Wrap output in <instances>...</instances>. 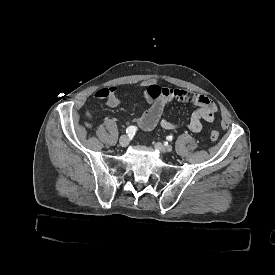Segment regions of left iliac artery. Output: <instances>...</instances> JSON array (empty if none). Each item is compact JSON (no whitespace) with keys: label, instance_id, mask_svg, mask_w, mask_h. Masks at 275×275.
<instances>
[{"label":"left iliac artery","instance_id":"44dca946","mask_svg":"<svg viewBox=\"0 0 275 275\" xmlns=\"http://www.w3.org/2000/svg\"><path fill=\"white\" fill-rule=\"evenodd\" d=\"M166 139H167L168 141H172L173 137H172V136H167Z\"/></svg>","mask_w":275,"mask_h":275}]
</instances>
